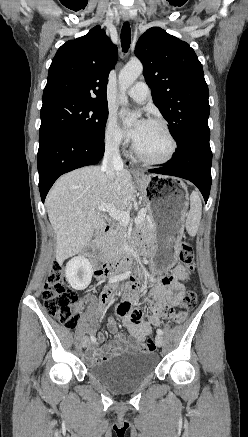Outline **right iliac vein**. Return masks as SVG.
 <instances>
[{"instance_id":"obj_1","label":"right iliac vein","mask_w":248,"mask_h":437,"mask_svg":"<svg viewBox=\"0 0 248 437\" xmlns=\"http://www.w3.org/2000/svg\"><path fill=\"white\" fill-rule=\"evenodd\" d=\"M82 347H87L89 345V338L88 337H83L82 339Z\"/></svg>"}]
</instances>
